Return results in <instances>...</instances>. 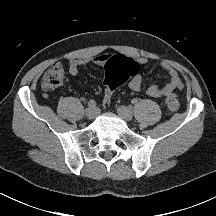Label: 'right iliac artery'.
<instances>
[{"label":"right iliac artery","mask_w":216,"mask_h":216,"mask_svg":"<svg viewBox=\"0 0 216 216\" xmlns=\"http://www.w3.org/2000/svg\"><path fill=\"white\" fill-rule=\"evenodd\" d=\"M88 106H89V107H95V106H96V102H95L94 100H90V101L88 102Z\"/></svg>","instance_id":"right-iliac-artery-1"}]
</instances>
